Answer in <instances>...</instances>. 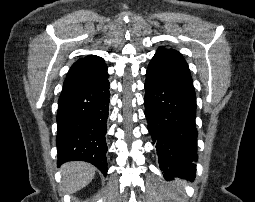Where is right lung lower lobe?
I'll return each instance as SVG.
<instances>
[{
	"mask_svg": "<svg viewBox=\"0 0 255 202\" xmlns=\"http://www.w3.org/2000/svg\"><path fill=\"white\" fill-rule=\"evenodd\" d=\"M108 78L96 84L63 90L58 101V165L81 160L107 173L105 135L109 105Z\"/></svg>",
	"mask_w": 255,
	"mask_h": 202,
	"instance_id": "right-lung-lower-lobe-1",
	"label": "right lung lower lobe"
}]
</instances>
